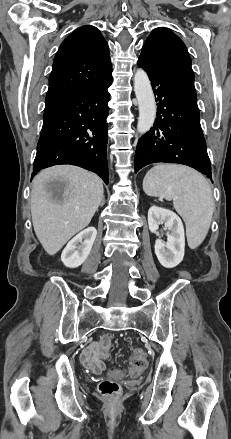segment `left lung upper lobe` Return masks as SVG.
Here are the masks:
<instances>
[{
	"instance_id": "obj_1",
	"label": "left lung upper lobe",
	"mask_w": 231,
	"mask_h": 439,
	"mask_svg": "<svg viewBox=\"0 0 231 439\" xmlns=\"http://www.w3.org/2000/svg\"><path fill=\"white\" fill-rule=\"evenodd\" d=\"M142 53L147 54L160 67L196 94L191 58L184 43L172 31L163 27L154 29L146 40Z\"/></svg>"
}]
</instances>
